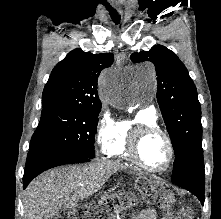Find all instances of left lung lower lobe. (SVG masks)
I'll return each mask as SVG.
<instances>
[{"label": "left lung lower lobe", "instance_id": "1", "mask_svg": "<svg viewBox=\"0 0 221 219\" xmlns=\"http://www.w3.org/2000/svg\"><path fill=\"white\" fill-rule=\"evenodd\" d=\"M204 181L205 178H195V179H189L179 182H174L178 186L190 191L192 194H194L202 203L204 204Z\"/></svg>", "mask_w": 221, "mask_h": 219}]
</instances>
